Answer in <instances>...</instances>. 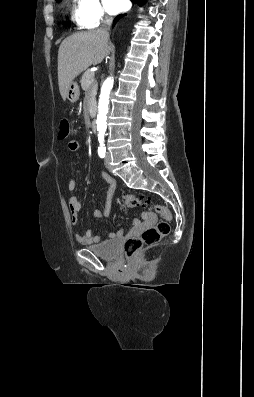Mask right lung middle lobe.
<instances>
[{"instance_id": "dd1d6c3e", "label": "right lung middle lobe", "mask_w": 254, "mask_h": 397, "mask_svg": "<svg viewBox=\"0 0 254 397\" xmlns=\"http://www.w3.org/2000/svg\"><path fill=\"white\" fill-rule=\"evenodd\" d=\"M57 2H60L61 0H56Z\"/></svg>"}]
</instances>
